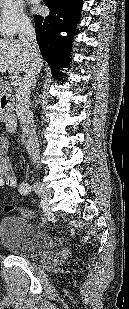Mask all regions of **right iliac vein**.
<instances>
[{
    "label": "right iliac vein",
    "mask_w": 129,
    "mask_h": 309,
    "mask_svg": "<svg viewBox=\"0 0 129 309\" xmlns=\"http://www.w3.org/2000/svg\"><path fill=\"white\" fill-rule=\"evenodd\" d=\"M33 189L45 202L49 201L51 197V192L45 187L44 184H42L40 181H36L33 184ZM43 222L45 223L46 220H44Z\"/></svg>",
    "instance_id": "obj_1"
}]
</instances>
